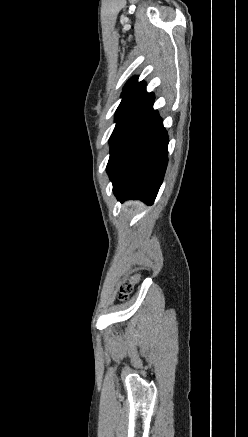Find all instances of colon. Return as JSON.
<instances>
[{
  "label": "colon",
  "instance_id": "5ec220e1",
  "mask_svg": "<svg viewBox=\"0 0 248 437\" xmlns=\"http://www.w3.org/2000/svg\"><path fill=\"white\" fill-rule=\"evenodd\" d=\"M138 278V275H133L121 282L119 287V297L121 299H126L130 295L136 282L138 281Z\"/></svg>",
  "mask_w": 248,
  "mask_h": 437
}]
</instances>
